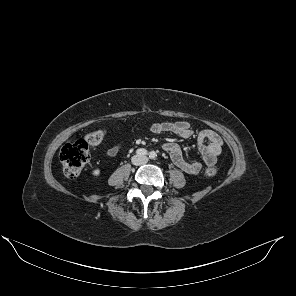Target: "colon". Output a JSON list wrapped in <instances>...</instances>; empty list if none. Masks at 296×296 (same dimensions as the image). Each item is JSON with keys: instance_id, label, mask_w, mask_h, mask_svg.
<instances>
[{"instance_id": "obj_1", "label": "colon", "mask_w": 296, "mask_h": 296, "mask_svg": "<svg viewBox=\"0 0 296 296\" xmlns=\"http://www.w3.org/2000/svg\"><path fill=\"white\" fill-rule=\"evenodd\" d=\"M106 135L105 130H98L86 135L83 139L66 144L60 151V161L65 175L78 176L89 161V145L100 143ZM217 173L215 166H208L205 175L214 176Z\"/></svg>"}]
</instances>
